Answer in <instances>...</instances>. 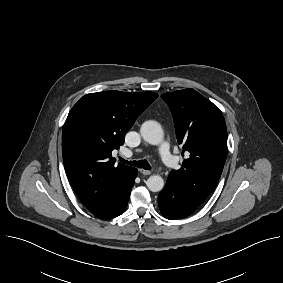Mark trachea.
<instances>
[{
	"mask_svg": "<svg viewBox=\"0 0 283 283\" xmlns=\"http://www.w3.org/2000/svg\"><path fill=\"white\" fill-rule=\"evenodd\" d=\"M119 160L121 162L125 163V164L131 165V166H135V167H138V168H144L146 170H150L151 169V166H150V164L148 163L147 160L127 161V160H125L123 158H120Z\"/></svg>",
	"mask_w": 283,
	"mask_h": 283,
	"instance_id": "obj_1",
	"label": "trachea"
}]
</instances>
